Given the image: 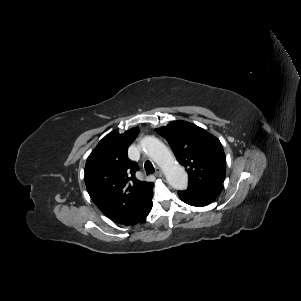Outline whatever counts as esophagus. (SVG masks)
Masks as SVG:
<instances>
[{
  "mask_svg": "<svg viewBox=\"0 0 301 301\" xmlns=\"http://www.w3.org/2000/svg\"><path fill=\"white\" fill-rule=\"evenodd\" d=\"M155 175L161 177L163 175V171L160 167L156 168Z\"/></svg>",
  "mask_w": 301,
  "mask_h": 301,
  "instance_id": "1",
  "label": "esophagus"
}]
</instances>
